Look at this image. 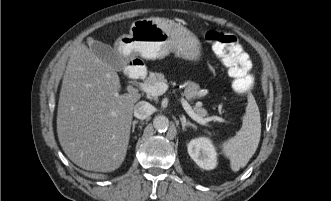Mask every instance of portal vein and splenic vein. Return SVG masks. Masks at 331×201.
Listing matches in <instances>:
<instances>
[{
  "instance_id": "18ae733b",
  "label": "portal vein and splenic vein",
  "mask_w": 331,
  "mask_h": 201,
  "mask_svg": "<svg viewBox=\"0 0 331 201\" xmlns=\"http://www.w3.org/2000/svg\"><path fill=\"white\" fill-rule=\"evenodd\" d=\"M140 89L151 96H160L164 94L168 90V85L164 82H157L154 85H147L145 83H140L139 85ZM181 104L184 108V110L187 112V114L197 123L201 125H208V121L210 120H217L222 121L219 117H211V118H203L196 114V112L192 109L190 104L187 102L185 98H181Z\"/></svg>"
}]
</instances>
